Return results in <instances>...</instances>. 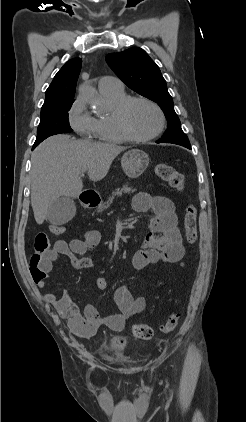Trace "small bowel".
I'll return each mask as SVG.
<instances>
[{
    "label": "small bowel",
    "mask_w": 246,
    "mask_h": 422,
    "mask_svg": "<svg viewBox=\"0 0 246 422\" xmlns=\"http://www.w3.org/2000/svg\"><path fill=\"white\" fill-rule=\"evenodd\" d=\"M133 207L138 213H152L147 221L148 232L142 245L132 255L133 268L141 270L159 263L181 261L185 255V248L178 228V218L173 201L164 196L140 193L135 197ZM100 240L101 234L97 230L87 231L84 239H72L69 242L57 240L46 255V275L42 279L34 280L36 286L39 289L46 288L47 274L52 268V263L60 256L69 258L72 266L77 270L92 267L94 261L88 255V252L97 246ZM95 285L100 291L107 289V284L103 278H98ZM159 285H162V282ZM112 297L120 312L102 316L97 308L90 304L80 311L67 292H63L60 298L52 292L46 291L43 293V299L55 307L60 316L68 319L70 329L75 334L84 337L93 335L100 326L121 331L124 329L126 321L131 316L143 311L146 306L144 297L133 296L125 286L116 288Z\"/></svg>",
    "instance_id": "obj_1"
}]
</instances>
